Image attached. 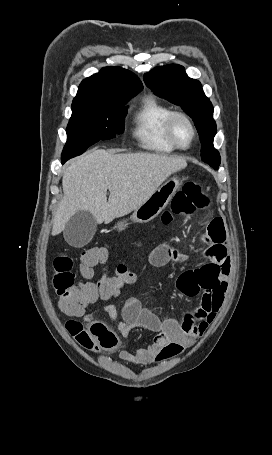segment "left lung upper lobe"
<instances>
[{
  "instance_id": "1",
  "label": "left lung upper lobe",
  "mask_w": 272,
  "mask_h": 455,
  "mask_svg": "<svg viewBox=\"0 0 272 455\" xmlns=\"http://www.w3.org/2000/svg\"><path fill=\"white\" fill-rule=\"evenodd\" d=\"M146 85L159 97L179 105L194 121L202 143L201 158L218 169L221 158L213 146L216 123L213 106L205 96L200 82L187 76L177 64L156 67L143 76Z\"/></svg>"
}]
</instances>
